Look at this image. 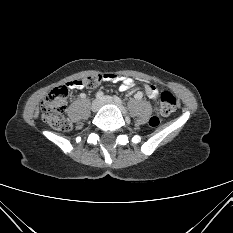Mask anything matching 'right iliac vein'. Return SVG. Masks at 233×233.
<instances>
[{"label": "right iliac vein", "mask_w": 233, "mask_h": 233, "mask_svg": "<svg viewBox=\"0 0 233 233\" xmlns=\"http://www.w3.org/2000/svg\"><path fill=\"white\" fill-rule=\"evenodd\" d=\"M101 104L102 102L99 100V99H95L93 102H92V105H91V110L93 112H97L99 110V108L101 107Z\"/></svg>", "instance_id": "right-iliac-vein-1"}]
</instances>
